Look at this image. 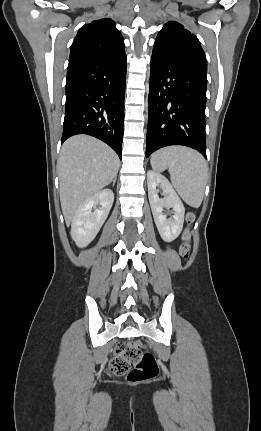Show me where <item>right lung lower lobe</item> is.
I'll return each mask as SVG.
<instances>
[{
	"label": "right lung lower lobe",
	"instance_id": "obj_1",
	"mask_svg": "<svg viewBox=\"0 0 261 431\" xmlns=\"http://www.w3.org/2000/svg\"><path fill=\"white\" fill-rule=\"evenodd\" d=\"M126 54L69 61L61 143L88 134L108 144L121 159Z\"/></svg>",
	"mask_w": 261,
	"mask_h": 431
}]
</instances>
